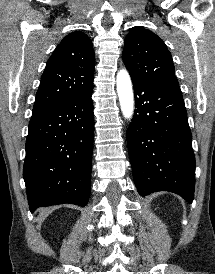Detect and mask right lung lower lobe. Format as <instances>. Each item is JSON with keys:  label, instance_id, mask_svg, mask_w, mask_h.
<instances>
[{"label": "right lung lower lobe", "instance_id": "obj_1", "mask_svg": "<svg viewBox=\"0 0 215 274\" xmlns=\"http://www.w3.org/2000/svg\"><path fill=\"white\" fill-rule=\"evenodd\" d=\"M92 92L93 86L32 115L23 169L31 212L63 203L87 204L94 132Z\"/></svg>", "mask_w": 215, "mask_h": 274}]
</instances>
